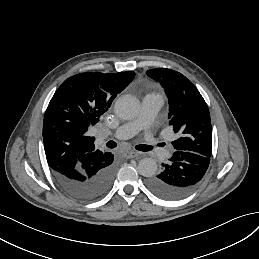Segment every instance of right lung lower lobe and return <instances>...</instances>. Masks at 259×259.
<instances>
[{
    "mask_svg": "<svg viewBox=\"0 0 259 259\" xmlns=\"http://www.w3.org/2000/svg\"><path fill=\"white\" fill-rule=\"evenodd\" d=\"M113 154L106 152L100 161L85 165L73 174H62L52 170L53 176L69 196L78 201L90 202L103 197L110 189L115 166Z\"/></svg>",
    "mask_w": 259,
    "mask_h": 259,
    "instance_id": "98d812e1",
    "label": "right lung lower lobe"
}]
</instances>
